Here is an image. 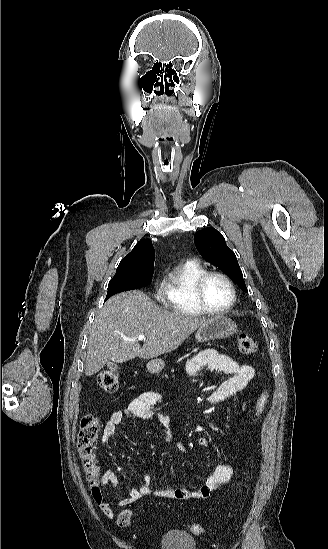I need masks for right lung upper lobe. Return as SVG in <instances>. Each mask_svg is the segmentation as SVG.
I'll use <instances>...</instances> for the list:
<instances>
[{
    "mask_svg": "<svg viewBox=\"0 0 328 549\" xmlns=\"http://www.w3.org/2000/svg\"><path fill=\"white\" fill-rule=\"evenodd\" d=\"M154 260L155 252L153 245L151 244V240H140L133 248V250L121 260L119 266L117 267V271L129 268L143 262Z\"/></svg>",
    "mask_w": 328,
    "mask_h": 549,
    "instance_id": "cb5924a9",
    "label": "right lung upper lobe"
}]
</instances>
